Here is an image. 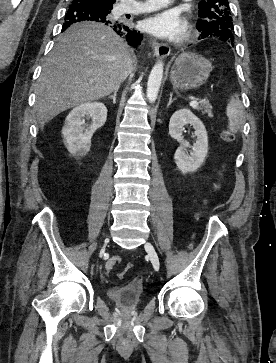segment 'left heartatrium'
Instances as JSON below:
<instances>
[{"label":"left heart atrium","mask_w":276,"mask_h":363,"mask_svg":"<svg viewBox=\"0 0 276 363\" xmlns=\"http://www.w3.org/2000/svg\"><path fill=\"white\" fill-rule=\"evenodd\" d=\"M145 28L152 34L168 38L178 39L185 30L187 23L178 12L169 10L146 19Z\"/></svg>","instance_id":"obj_1"}]
</instances>
